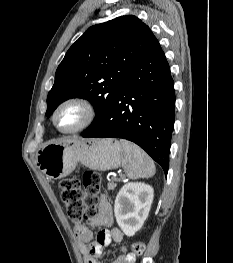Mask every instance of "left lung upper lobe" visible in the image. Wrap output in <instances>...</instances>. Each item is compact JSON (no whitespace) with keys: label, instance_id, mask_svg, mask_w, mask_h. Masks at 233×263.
<instances>
[{"label":"left lung upper lobe","instance_id":"5c2ea615","mask_svg":"<svg viewBox=\"0 0 233 263\" xmlns=\"http://www.w3.org/2000/svg\"><path fill=\"white\" fill-rule=\"evenodd\" d=\"M155 39L149 27L132 15L90 27L58 66L46 115L67 99H88L96 112L83 133L89 131L106 114L126 76Z\"/></svg>","mask_w":233,"mask_h":263}]
</instances>
